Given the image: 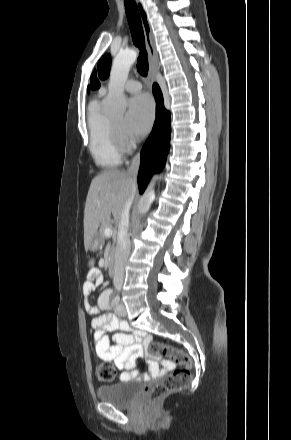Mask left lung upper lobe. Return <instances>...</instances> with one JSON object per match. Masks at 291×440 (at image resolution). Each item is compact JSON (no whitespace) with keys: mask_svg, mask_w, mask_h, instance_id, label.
Wrapping results in <instances>:
<instances>
[{"mask_svg":"<svg viewBox=\"0 0 291 440\" xmlns=\"http://www.w3.org/2000/svg\"><path fill=\"white\" fill-rule=\"evenodd\" d=\"M110 66H111V58L109 55L105 54L100 59L97 65L98 76L100 79L104 80L108 77ZM91 82L93 85V89H97L100 87L99 80L96 78L95 75L91 77Z\"/></svg>","mask_w":291,"mask_h":440,"instance_id":"obj_1","label":"left lung upper lobe"}]
</instances>
